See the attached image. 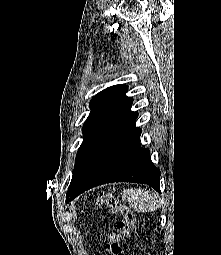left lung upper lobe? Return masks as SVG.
<instances>
[{
	"label": "left lung upper lobe",
	"mask_w": 221,
	"mask_h": 255,
	"mask_svg": "<svg viewBox=\"0 0 221 255\" xmlns=\"http://www.w3.org/2000/svg\"><path fill=\"white\" fill-rule=\"evenodd\" d=\"M127 90L126 85H114L92 98L89 106L91 112L83 125L84 138L77 152L67 199L97 147L121 121L132 113L130 108L133 99L125 96Z\"/></svg>",
	"instance_id": "left-lung-upper-lobe-1"
}]
</instances>
